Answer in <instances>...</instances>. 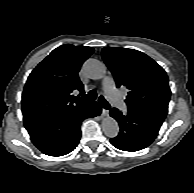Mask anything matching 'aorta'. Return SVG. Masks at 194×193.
<instances>
[{
    "mask_svg": "<svg viewBox=\"0 0 194 193\" xmlns=\"http://www.w3.org/2000/svg\"><path fill=\"white\" fill-rule=\"evenodd\" d=\"M84 72L91 79H101L106 74V66L96 59H88L84 64ZM102 130L107 137L114 138L119 133L118 122L107 116L102 121Z\"/></svg>",
    "mask_w": 194,
    "mask_h": 193,
    "instance_id": "762f6f07",
    "label": "aorta"
}]
</instances>
